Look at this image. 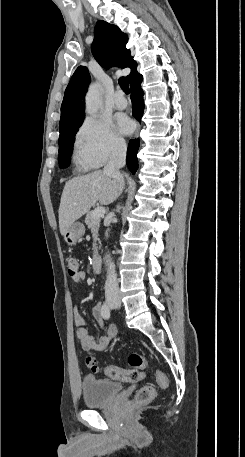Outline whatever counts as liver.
<instances>
[{"label":"liver","instance_id":"liver-1","mask_svg":"<svg viewBox=\"0 0 245 457\" xmlns=\"http://www.w3.org/2000/svg\"><path fill=\"white\" fill-rule=\"evenodd\" d=\"M122 182L112 178L103 170H94L83 176H74L67 180L59 206V229L61 235L68 231L69 226L90 210L99 200L101 204H110L121 194Z\"/></svg>","mask_w":245,"mask_h":457}]
</instances>
